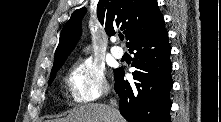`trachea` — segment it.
Listing matches in <instances>:
<instances>
[{"mask_svg":"<svg viewBox=\"0 0 221 122\" xmlns=\"http://www.w3.org/2000/svg\"><path fill=\"white\" fill-rule=\"evenodd\" d=\"M120 40H124V36L123 35H120Z\"/></svg>","mask_w":221,"mask_h":122,"instance_id":"3493384b","label":"trachea"}]
</instances>
